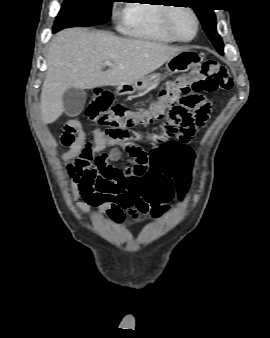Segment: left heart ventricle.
Wrapping results in <instances>:
<instances>
[{
    "label": "left heart ventricle",
    "instance_id": "1",
    "mask_svg": "<svg viewBox=\"0 0 270 338\" xmlns=\"http://www.w3.org/2000/svg\"><path fill=\"white\" fill-rule=\"evenodd\" d=\"M173 28L180 38H190L194 33L193 17L185 11L177 12L173 17Z\"/></svg>",
    "mask_w": 270,
    "mask_h": 338
}]
</instances>
